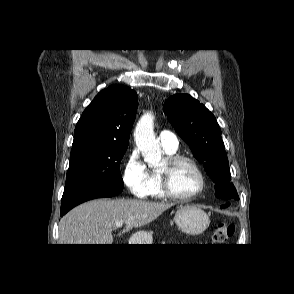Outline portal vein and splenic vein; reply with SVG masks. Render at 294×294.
Masks as SVG:
<instances>
[{
    "label": "portal vein and splenic vein",
    "mask_w": 294,
    "mask_h": 294,
    "mask_svg": "<svg viewBox=\"0 0 294 294\" xmlns=\"http://www.w3.org/2000/svg\"><path fill=\"white\" fill-rule=\"evenodd\" d=\"M123 224H124V222L119 221V222H116V223H115V226H116L117 228H121V227L123 226Z\"/></svg>",
    "instance_id": "obj_1"
}]
</instances>
